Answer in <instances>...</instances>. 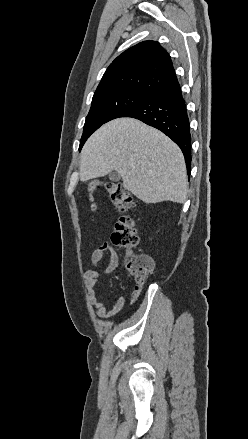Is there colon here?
Instances as JSON below:
<instances>
[{
	"instance_id": "1",
	"label": "colon",
	"mask_w": 248,
	"mask_h": 439,
	"mask_svg": "<svg viewBox=\"0 0 248 439\" xmlns=\"http://www.w3.org/2000/svg\"><path fill=\"white\" fill-rule=\"evenodd\" d=\"M100 186H103L107 190L112 202L120 211L125 212L134 206L131 194L122 184L94 180L88 184V197L91 202L90 208L92 211H96L97 209L96 204L93 201V192ZM111 241L114 245L126 249L137 246L139 238L134 222L131 218L127 216L119 218L115 224ZM124 263L128 271L134 277L136 286H143L148 274L154 268L153 260L149 256L135 254L133 252H127L124 258Z\"/></svg>"
}]
</instances>
